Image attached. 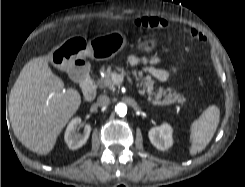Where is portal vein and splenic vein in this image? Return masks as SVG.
<instances>
[{
	"mask_svg": "<svg viewBox=\"0 0 245 187\" xmlns=\"http://www.w3.org/2000/svg\"><path fill=\"white\" fill-rule=\"evenodd\" d=\"M123 79H124L123 75L116 74V73H114L112 75V80H113L114 84L122 83ZM175 102H177V101H156V102H151V103L154 104V105H169V104H172V103H175ZM178 103H180V102H178Z\"/></svg>",
	"mask_w": 245,
	"mask_h": 187,
	"instance_id": "18ae733b",
	"label": "portal vein and splenic vein"
}]
</instances>
